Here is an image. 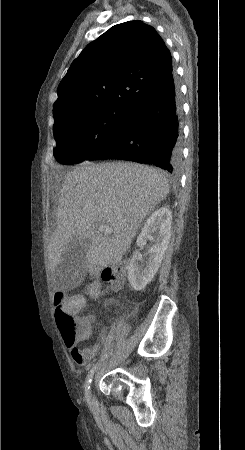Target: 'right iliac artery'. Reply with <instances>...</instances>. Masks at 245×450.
Masks as SVG:
<instances>
[{"label": "right iliac artery", "instance_id": "82829eb1", "mask_svg": "<svg viewBox=\"0 0 245 450\" xmlns=\"http://www.w3.org/2000/svg\"><path fill=\"white\" fill-rule=\"evenodd\" d=\"M97 368V364H95L92 369L90 370V372L87 375V379H86V384H85V392H86V396L88 398V401L90 403V396H89V390H90V383L92 381L93 375L96 371Z\"/></svg>", "mask_w": 245, "mask_h": 450}]
</instances>
